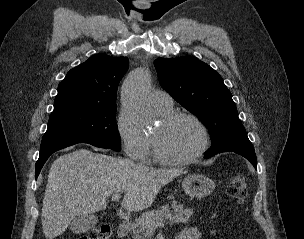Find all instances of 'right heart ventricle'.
<instances>
[{"label":"right heart ventricle","instance_id":"e07e8e85","mask_svg":"<svg viewBox=\"0 0 304 239\" xmlns=\"http://www.w3.org/2000/svg\"><path fill=\"white\" fill-rule=\"evenodd\" d=\"M155 109L162 117L173 112L172 107H170V108L155 107Z\"/></svg>","mask_w":304,"mask_h":239}]
</instances>
